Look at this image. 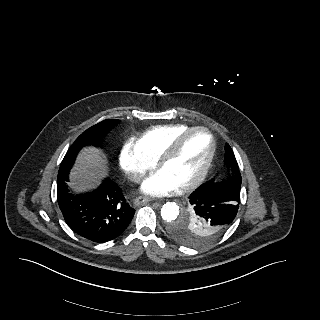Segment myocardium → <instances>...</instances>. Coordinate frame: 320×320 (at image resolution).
<instances>
[{
  "label": "myocardium",
  "instance_id": "myocardium-1",
  "mask_svg": "<svg viewBox=\"0 0 320 320\" xmlns=\"http://www.w3.org/2000/svg\"><path fill=\"white\" fill-rule=\"evenodd\" d=\"M195 133H205L209 137L210 148L207 159L200 172L193 179L178 188L181 192L196 188L206 178L216 153V141L213 134L205 127H191L177 135L156 161V167L160 170L167 162L176 156L184 140Z\"/></svg>",
  "mask_w": 320,
  "mask_h": 320
}]
</instances>
